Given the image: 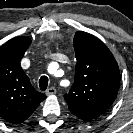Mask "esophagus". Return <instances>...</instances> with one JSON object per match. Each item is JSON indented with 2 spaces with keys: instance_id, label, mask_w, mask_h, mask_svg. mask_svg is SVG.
Returning <instances> with one entry per match:
<instances>
[{
  "instance_id": "obj_1",
  "label": "esophagus",
  "mask_w": 133,
  "mask_h": 133,
  "mask_svg": "<svg viewBox=\"0 0 133 133\" xmlns=\"http://www.w3.org/2000/svg\"><path fill=\"white\" fill-rule=\"evenodd\" d=\"M56 93V89L54 87H50L46 90V95H54Z\"/></svg>"
}]
</instances>
